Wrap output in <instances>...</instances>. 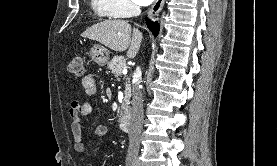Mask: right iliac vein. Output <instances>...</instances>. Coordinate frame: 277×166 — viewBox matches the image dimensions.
Masks as SVG:
<instances>
[{"instance_id":"63e3f726","label":"right iliac vein","mask_w":277,"mask_h":166,"mask_svg":"<svg viewBox=\"0 0 277 166\" xmlns=\"http://www.w3.org/2000/svg\"><path fill=\"white\" fill-rule=\"evenodd\" d=\"M127 166H137L136 162H128Z\"/></svg>"}]
</instances>
